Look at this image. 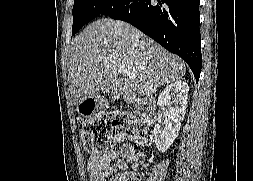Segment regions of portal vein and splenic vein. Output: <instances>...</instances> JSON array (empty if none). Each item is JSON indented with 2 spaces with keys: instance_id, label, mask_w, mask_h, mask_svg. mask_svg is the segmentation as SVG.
<instances>
[{
  "instance_id": "18ae733b",
  "label": "portal vein and splenic vein",
  "mask_w": 253,
  "mask_h": 181,
  "mask_svg": "<svg viewBox=\"0 0 253 181\" xmlns=\"http://www.w3.org/2000/svg\"><path fill=\"white\" fill-rule=\"evenodd\" d=\"M118 73H120L122 75L130 76V77L135 76L134 71L129 66H126V65H119L118 66Z\"/></svg>"
}]
</instances>
